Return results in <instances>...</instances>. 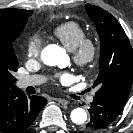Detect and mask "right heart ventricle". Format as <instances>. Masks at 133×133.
Returning <instances> with one entry per match:
<instances>
[{
  "mask_svg": "<svg viewBox=\"0 0 133 133\" xmlns=\"http://www.w3.org/2000/svg\"><path fill=\"white\" fill-rule=\"evenodd\" d=\"M53 34L69 50L75 48L86 37L83 26L75 21H67L57 25Z\"/></svg>",
  "mask_w": 133,
  "mask_h": 133,
  "instance_id": "1",
  "label": "right heart ventricle"
}]
</instances>
